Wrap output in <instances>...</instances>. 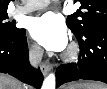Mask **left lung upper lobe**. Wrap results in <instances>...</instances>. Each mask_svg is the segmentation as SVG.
<instances>
[{
	"label": "left lung upper lobe",
	"instance_id": "left-lung-upper-lobe-1",
	"mask_svg": "<svg viewBox=\"0 0 107 89\" xmlns=\"http://www.w3.org/2000/svg\"><path fill=\"white\" fill-rule=\"evenodd\" d=\"M80 3L83 11L67 17V25L73 33L82 35L93 26L107 25V0H80Z\"/></svg>",
	"mask_w": 107,
	"mask_h": 89
}]
</instances>
